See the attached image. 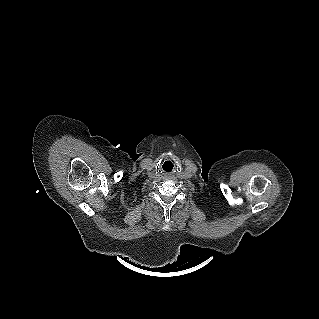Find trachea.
I'll return each mask as SVG.
<instances>
[{"instance_id":"trachea-1","label":"trachea","mask_w":319,"mask_h":319,"mask_svg":"<svg viewBox=\"0 0 319 319\" xmlns=\"http://www.w3.org/2000/svg\"><path fill=\"white\" fill-rule=\"evenodd\" d=\"M174 165L171 161L165 162L162 166L163 170L167 173H170L173 170Z\"/></svg>"}]
</instances>
